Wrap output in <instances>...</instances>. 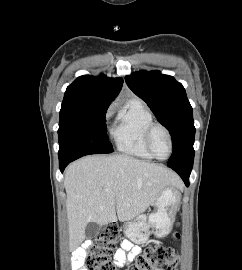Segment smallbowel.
<instances>
[{"instance_id": "small-bowel-1", "label": "small bowel", "mask_w": 242, "mask_h": 270, "mask_svg": "<svg viewBox=\"0 0 242 270\" xmlns=\"http://www.w3.org/2000/svg\"><path fill=\"white\" fill-rule=\"evenodd\" d=\"M89 244H86L83 248L79 249L72 257V265L77 270H87L83 264L85 248ZM140 253V248L133 245L129 241L125 240L122 242L121 247L115 252L114 259L119 265L126 264L130 262L136 255ZM153 270H165L162 267H154Z\"/></svg>"}]
</instances>
